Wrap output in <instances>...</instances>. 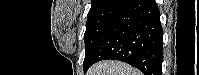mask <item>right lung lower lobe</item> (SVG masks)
I'll return each mask as SVG.
<instances>
[{
    "label": "right lung lower lobe",
    "instance_id": "obj_1",
    "mask_svg": "<svg viewBox=\"0 0 199 75\" xmlns=\"http://www.w3.org/2000/svg\"><path fill=\"white\" fill-rule=\"evenodd\" d=\"M163 30L155 0H128L90 55L89 67L105 59L126 62L144 75H161Z\"/></svg>",
    "mask_w": 199,
    "mask_h": 75
}]
</instances>
